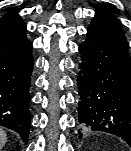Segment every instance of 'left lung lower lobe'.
I'll return each mask as SVG.
<instances>
[{
  "mask_svg": "<svg viewBox=\"0 0 131 151\" xmlns=\"http://www.w3.org/2000/svg\"><path fill=\"white\" fill-rule=\"evenodd\" d=\"M79 53V138L102 131L120 136L131 146V55L90 33Z\"/></svg>",
  "mask_w": 131,
  "mask_h": 151,
  "instance_id": "1",
  "label": "left lung lower lobe"
}]
</instances>
